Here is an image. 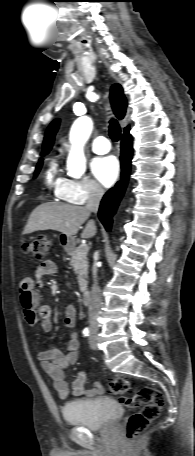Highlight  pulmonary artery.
<instances>
[{"instance_id": "obj_1", "label": "pulmonary artery", "mask_w": 195, "mask_h": 456, "mask_svg": "<svg viewBox=\"0 0 195 456\" xmlns=\"http://www.w3.org/2000/svg\"><path fill=\"white\" fill-rule=\"evenodd\" d=\"M92 150L97 154H105L110 151L111 145L106 137L99 136L92 142Z\"/></svg>"}]
</instances>
